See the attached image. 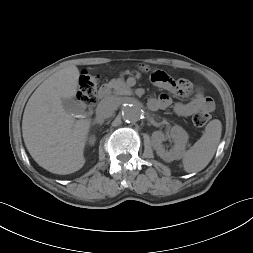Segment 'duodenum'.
<instances>
[{"instance_id": "410a0bca", "label": "duodenum", "mask_w": 253, "mask_h": 253, "mask_svg": "<svg viewBox=\"0 0 253 253\" xmlns=\"http://www.w3.org/2000/svg\"><path fill=\"white\" fill-rule=\"evenodd\" d=\"M107 95V87H102L100 90H99V97L100 98H105Z\"/></svg>"}]
</instances>
